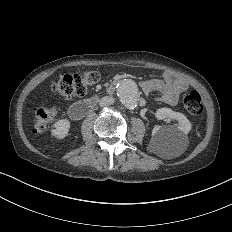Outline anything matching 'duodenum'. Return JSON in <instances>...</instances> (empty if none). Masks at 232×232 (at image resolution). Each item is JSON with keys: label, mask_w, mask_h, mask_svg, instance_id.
Returning <instances> with one entry per match:
<instances>
[{"label": "duodenum", "mask_w": 232, "mask_h": 232, "mask_svg": "<svg viewBox=\"0 0 232 232\" xmlns=\"http://www.w3.org/2000/svg\"><path fill=\"white\" fill-rule=\"evenodd\" d=\"M117 83V81H113L112 83H110L106 88V93L112 94L115 91ZM97 100L98 96H93L87 100L73 104L68 110V115L73 120L82 119L91 111Z\"/></svg>", "instance_id": "duodenum-1"}]
</instances>
